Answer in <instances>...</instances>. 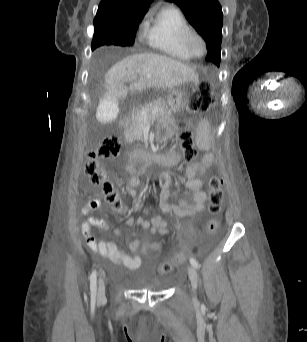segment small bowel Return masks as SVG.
Wrapping results in <instances>:
<instances>
[{
    "label": "small bowel",
    "mask_w": 307,
    "mask_h": 342,
    "mask_svg": "<svg viewBox=\"0 0 307 342\" xmlns=\"http://www.w3.org/2000/svg\"><path fill=\"white\" fill-rule=\"evenodd\" d=\"M196 145L204 152L200 161H194L188 164L186 169L187 179L184 182V186L191 191L190 200L188 203L185 200H180L177 205H171L167 202L170 191L169 183L170 176L167 177L160 194L159 207L162 212L167 214H173L177 216L192 217L196 214L204 211L207 194L201 188L203 181L201 177L206 176L209 168L215 161V155L211 151V127L206 118L199 119L196 123ZM173 160V166L177 165L181 160V155L172 151L169 154ZM128 183L127 192L131 195L135 194V187L138 184V178L134 168L129 167L127 169ZM101 200L97 197L90 198L86 205L82 208L81 213L87 216V220L82 224V234L86 240L87 245L100 255L109 258L111 261L117 264H122L130 269H136L140 265V258L138 256H131L126 251L119 249L111 241L97 242L90 232L91 226H96L104 230L109 229V225L103 219H97L90 216V213L100 209ZM124 217L129 227L132 228L133 234L136 233V226L140 225L144 230L150 231V229H158L160 232H169L166 223L159 216H152L150 221L140 217L136 221L131 216L124 213ZM120 234L118 230L115 231ZM141 246L140 240H134L129 242V251L134 252Z\"/></svg>",
    "instance_id": "obj_1"
}]
</instances>
